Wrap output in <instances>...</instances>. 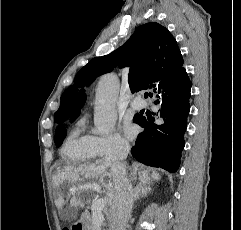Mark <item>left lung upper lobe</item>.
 Masks as SVG:
<instances>
[{
  "instance_id": "left-lung-upper-lobe-1",
  "label": "left lung upper lobe",
  "mask_w": 241,
  "mask_h": 230,
  "mask_svg": "<svg viewBox=\"0 0 241 230\" xmlns=\"http://www.w3.org/2000/svg\"><path fill=\"white\" fill-rule=\"evenodd\" d=\"M84 102H85V96L84 95L80 96V98L78 100V103L76 104V108H75V111H74L73 119H75L79 115L80 108L83 106ZM65 136H66V129H65V127L63 125H59L57 127V129H56L55 139H54L55 144H56L57 147H59L62 144Z\"/></svg>"
}]
</instances>
